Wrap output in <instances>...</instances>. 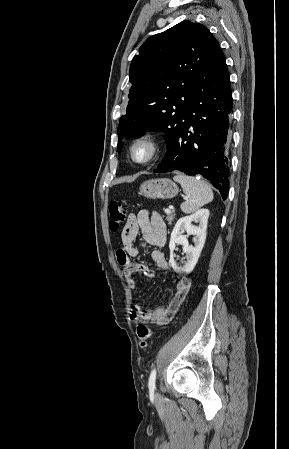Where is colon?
I'll return each mask as SVG.
<instances>
[{"mask_svg": "<svg viewBox=\"0 0 289 449\" xmlns=\"http://www.w3.org/2000/svg\"><path fill=\"white\" fill-rule=\"evenodd\" d=\"M127 211L124 207L123 202L121 201H112L109 204V226L112 231H117L121 225L127 219ZM153 335L151 329H149L145 325H139L137 327V336L139 341V346L142 349H145L147 346L148 340Z\"/></svg>", "mask_w": 289, "mask_h": 449, "instance_id": "colon-1", "label": "colon"}]
</instances>
